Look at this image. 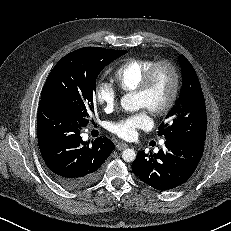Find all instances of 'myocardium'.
<instances>
[{
    "mask_svg": "<svg viewBox=\"0 0 231 231\" xmlns=\"http://www.w3.org/2000/svg\"><path fill=\"white\" fill-rule=\"evenodd\" d=\"M161 67H166L172 74V88L167 101L160 107H148V109L158 117L168 114L175 106L181 87V75L178 67L170 60L163 59L155 62L143 76L139 86L134 91L137 95H146L152 85L154 76L157 70Z\"/></svg>",
    "mask_w": 231,
    "mask_h": 231,
    "instance_id": "f54148a6",
    "label": "myocardium"
}]
</instances>
